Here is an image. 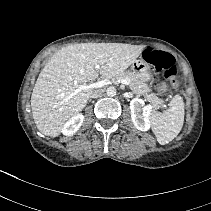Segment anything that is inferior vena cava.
Returning a JSON list of instances; mask_svg holds the SVG:
<instances>
[{
    "mask_svg": "<svg viewBox=\"0 0 211 211\" xmlns=\"http://www.w3.org/2000/svg\"><path fill=\"white\" fill-rule=\"evenodd\" d=\"M103 90L102 89H97V90H94L92 92V94L90 95L91 98H97L99 96H101L103 94Z\"/></svg>",
    "mask_w": 211,
    "mask_h": 211,
    "instance_id": "602c4592",
    "label": "inferior vena cava"
}]
</instances>
